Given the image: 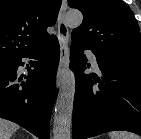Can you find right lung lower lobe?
<instances>
[{
    "instance_id": "98d812e1",
    "label": "right lung lower lobe",
    "mask_w": 141,
    "mask_h": 139,
    "mask_svg": "<svg viewBox=\"0 0 141 139\" xmlns=\"http://www.w3.org/2000/svg\"><path fill=\"white\" fill-rule=\"evenodd\" d=\"M59 55V43L53 37L41 47L0 62V118L19 124L40 139L50 138ZM22 58L33 61L26 81L17 83V68L24 65Z\"/></svg>"
}]
</instances>
